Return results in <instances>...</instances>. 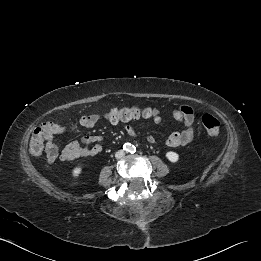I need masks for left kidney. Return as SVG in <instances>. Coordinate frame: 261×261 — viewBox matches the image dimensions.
Segmentation results:
<instances>
[{
    "label": "left kidney",
    "instance_id": "1",
    "mask_svg": "<svg viewBox=\"0 0 261 261\" xmlns=\"http://www.w3.org/2000/svg\"><path fill=\"white\" fill-rule=\"evenodd\" d=\"M165 156L172 163H175L179 160V155L173 151L167 152Z\"/></svg>",
    "mask_w": 261,
    "mask_h": 261
}]
</instances>
